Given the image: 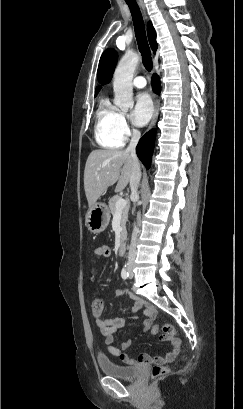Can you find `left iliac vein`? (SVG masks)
<instances>
[{
    "label": "left iliac vein",
    "instance_id": "obj_1",
    "mask_svg": "<svg viewBox=\"0 0 243 409\" xmlns=\"http://www.w3.org/2000/svg\"><path fill=\"white\" fill-rule=\"evenodd\" d=\"M129 276H130V278L133 277L132 267L129 268Z\"/></svg>",
    "mask_w": 243,
    "mask_h": 409
}]
</instances>
